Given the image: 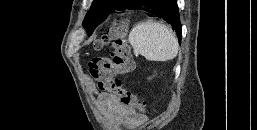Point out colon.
Returning a JSON list of instances; mask_svg holds the SVG:
<instances>
[{"label": "colon", "instance_id": "1", "mask_svg": "<svg viewBox=\"0 0 257 130\" xmlns=\"http://www.w3.org/2000/svg\"><path fill=\"white\" fill-rule=\"evenodd\" d=\"M127 30V23L119 20L106 35L95 42V49H101L112 41V49L110 56L94 57L90 60L89 74L101 93L115 94L123 106L145 114L146 104L140 101L137 95L127 88L119 78V75L135 70V62L131 57L126 40Z\"/></svg>", "mask_w": 257, "mask_h": 130}]
</instances>
